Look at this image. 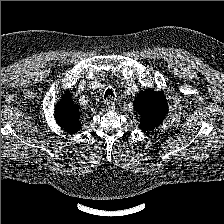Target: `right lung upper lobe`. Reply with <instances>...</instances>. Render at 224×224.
Listing matches in <instances>:
<instances>
[{
	"label": "right lung upper lobe",
	"instance_id": "cb5924a9",
	"mask_svg": "<svg viewBox=\"0 0 224 224\" xmlns=\"http://www.w3.org/2000/svg\"><path fill=\"white\" fill-rule=\"evenodd\" d=\"M70 91H66L61 101L55 106L54 117L65 131L76 133L80 130L81 111L78 105L74 104Z\"/></svg>",
	"mask_w": 224,
	"mask_h": 224
}]
</instances>
